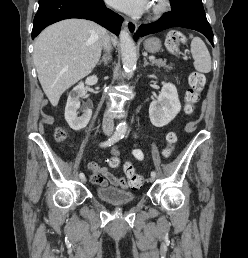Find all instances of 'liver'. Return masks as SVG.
Segmentation results:
<instances>
[{
	"label": "liver",
	"mask_w": 248,
	"mask_h": 258,
	"mask_svg": "<svg viewBox=\"0 0 248 258\" xmlns=\"http://www.w3.org/2000/svg\"><path fill=\"white\" fill-rule=\"evenodd\" d=\"M107 35L104 28L84 19L63 20L40 33L33 60L43 91L53 106L68 88L91 73Z\"/></svg>",
	"instance_id": "6515ba94"
}]
</instances>
